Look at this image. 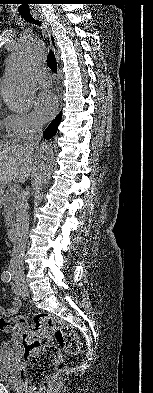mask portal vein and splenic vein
<instances>
[{
    "instance_id": "18ae733b",
    "label": "portal vein and splenic vein",
    "mask_w": 153,
    "mask_h": 393,
    "mask_svg": "<svg viewBox=\"0 0 153 393\" xmlns=\"http://www.w3.org/2000/svg\"><path fill=\"white\" fill-rule=\"evenodd\" d=\"M19 189H20L19 185H16V184L11 187V191H13V192H18Z\"/></svg>"
}]
</instances>
